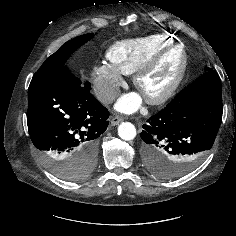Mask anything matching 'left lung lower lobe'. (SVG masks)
<instances>
[{
    "instance_id": "0a47b994",
    "label": "left lung lower lobe",
    "mask_w": 236,
    "mask_h": 236,
    "mask_svg": "<svg viewBox=\"0 0 236 236\" xmlns=\"http://www.w3.org/2000/svg\"><path fill=\"white\" fill-rule=\"evenodd\" d=\"M222 113L220 78L205 72L143 125L146 168L170 178L197 165L215 141Z\"/></svg>"
}]
</instances>
